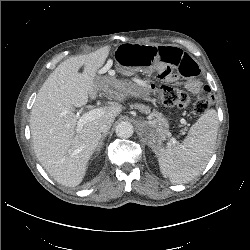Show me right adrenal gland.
Wrapping results in <instances>:
<instances>
[{"mask_svg": "<svg viewBox=\"0 0 250 250\" xmlns=\"http://www.w3.org/2000/svg\"><path fill=\"white\" fill-rule=\"evenodd\" d=\"M107 134L108 133H104V134L101 135V139H100V141L98 143V146L96 148V154H98L101 151V148L103 146V141H104L105 137L107 136Z\"/></svg>", "mask_w": 250, "mask_h": 250, "instance_id": "1", "label": "right adrenal gland"}]
</instances>
